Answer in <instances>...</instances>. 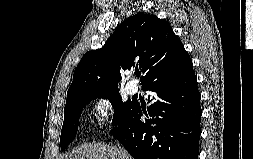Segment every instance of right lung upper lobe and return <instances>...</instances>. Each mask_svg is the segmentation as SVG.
<instances>
[{
  "label": "right lung upper lobe",
  "instance_id": "1",
  "mask_svg": "<svg viewBox=\"0 0 253 159\" xmlns=\"http://www.w3.org/2000/svg\"><path fill=\"white\" fill-rule=\"evenodd\" d=\"M138 68L142 87L175 76L192 61L170 24L156 15L138 13L122 22L106 44L87 52L74 71L67 92L70 101L118 90L120 71Z\"/></svg>",
  "mask_w": 253,
  "mask_h": 159
}]
</instances>
